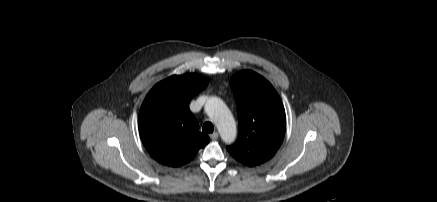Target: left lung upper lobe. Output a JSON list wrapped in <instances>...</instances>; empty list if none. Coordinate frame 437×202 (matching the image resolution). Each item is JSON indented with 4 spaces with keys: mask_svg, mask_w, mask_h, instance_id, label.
<instances>
[{
    "mask_svg": "<svg viewBox=\"0 0 437 202\" xmlns=\"http://www.w3.org/2000/svg\"><path fill=\"white\" fill-rule=\"evenodd\" d=\"M239 122L237 141L229 153L247 166L271 159L282 144L286 116L282 101L273 86L261 75L244 70L230 81Z\"/></svg>",
    "mask_w": 437,
    "mask_h": 202,
    "instance_id": "1",
    "label": "left lung upper lobe"
}]
</instances>
